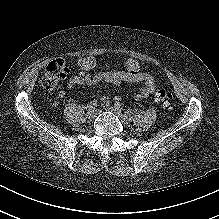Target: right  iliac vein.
I'll return each instance as SVG.
<instances>
[{
	"label": "right iliac vein",
	"instance_id": "1",
	"mask_svg": "<svg viewBox=\"0 0 219 219\" xmlns=\"http://www.w3.org/2000/svg\"><path fill=\"white\" fill-rule=\"evenodd\" d=\"M87 117L91 120L94 119L96 117V112L94 110H89L87 112Z\"/></svg>",
	"mask_w": 219,
	"mask_h": 219
}]
</instances>
